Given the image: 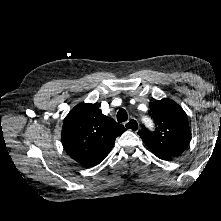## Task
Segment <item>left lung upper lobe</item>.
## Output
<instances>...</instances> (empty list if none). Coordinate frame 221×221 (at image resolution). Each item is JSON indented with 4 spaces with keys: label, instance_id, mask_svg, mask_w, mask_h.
<instances>
[{
    "label": "left lung upper lobe",
    "instance_id": "obj_1",
    "mask_svg": "<svg viewBox=\"0 0 221 221\" xmlns=\"http://www.w3.org/2000/svg\"><path fill=\"white\" fill-rule=\"evenodd\" d=\"M155 130L143 127L138 132L143 142L154 153H171L185 149L191 139L188 118L184 110L170 99L149 103Z\"/></svg>",
    "mask_w": 221,
    "mask_h": 221
}]
</instances>
